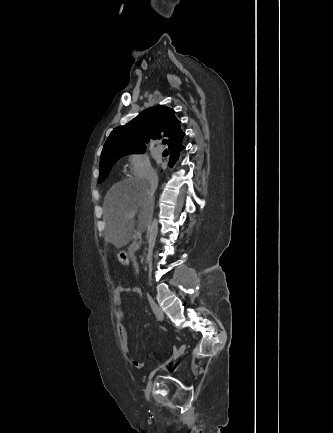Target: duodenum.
Segmentation results:
<instances>
[{
    "label": "duodenum",
    "instance_id": "obj_1",
    "mask_svg": "<svg viewBox=\"0 0 333 433\" xmlns=\"http://www.w3.org/2000/svg\"><path fill=\"white\" fill-rule=\"evenodd\" d=\"M135 246H136V241H131L128 247V254L131 258L135 256L133 251ZM131 261L133 262V268H138V263H136L137 259L133 258Z\"/></svg>",
    "mask_w": 333,
    "mask_h": 433
}]
</instances>
